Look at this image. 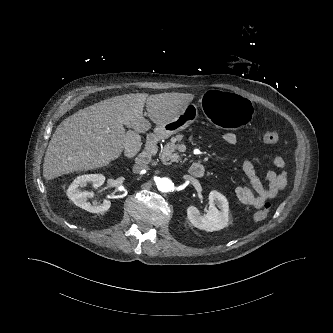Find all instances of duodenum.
I'll list each match as a JSON object with an SVG mask.
<instances>
[{"mask_svg": "<svg viewBox=\"0 0 333 333\" xmlns=\"http://www.w3.org/2000/svg\"><path fill=\"white\" fill-rule=\"evenodd\" d=\"M157 141L158 137L155 134H151L147 137L144 149L137 155L135 159V164L138 168H144L151 162L156 152ZM189 172L193 177L201 178L205 173V168L201 163L195 162L191 164Z\"/></svg>", "mask_w": 333, "mask_h": 333, "instance_id": "410a0bca", "label": "duodenum"}]
</instances>
